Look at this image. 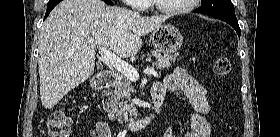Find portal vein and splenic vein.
Wrapping results in <instances>:
<instances>
[{"label":"portal vein and splenic vein","mask_w":280,"mask_h":137,"mask_svg":"<svg viewBox=\"0 0 280 137\" xmlns=\"http://www.w3.org/2000/svg\"><path fill=\"white\" fill-rule=\"evenodd\" d=\"M100 56L131 81H137L139 79V73L133 66L120 59L106 47H100ZM143 72L145 74H156L153 67L146 68Z\"/></svg>","instance_id":"1"}]
</instances>
